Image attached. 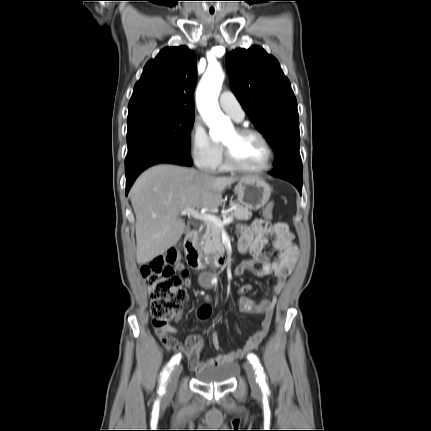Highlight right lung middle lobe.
I'll return each mask as SVG.
<instances>
[{
	"instance_id": "dd1d6c3e",
	"label": "right lung middle lobe",
	"mask_w": 431,
	"mask_h": 431,
	"mask_svg": "<svg viewBox=\"0 0 431 431\" xmlns=\"http://www.w3.org/2000/svg\"><path fill=\"white\" fill-rule=\"evenodd\" d=\"M194 114L146 113L127 119L128 149L148 140H163L190 154Z\"/></svg>"
}]
</instances>
